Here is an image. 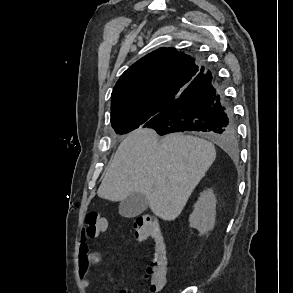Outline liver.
Returning a JSON list of instances; mask_svg holds the SVG:
<instances>
[{
	"mask_svg": "<svg viewBox=\"0 0 293 293\" xmlns=\"http://www.w3.org/2000/svg\"><path fill=\"white\" fill-rule=\"evenodd\" d=\"M215 158L214 145L202 138L172 133L160 139L155 130L138 128L120 143L97 194L117 202L141 193L155 215L171 221Z\"/></svg>",
	"mask_w": 293,
	"mask_h": 293,
	"instance_id": "6515ba94",
	"label": "liver"
}]
</instances>
